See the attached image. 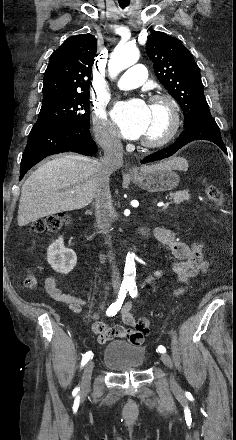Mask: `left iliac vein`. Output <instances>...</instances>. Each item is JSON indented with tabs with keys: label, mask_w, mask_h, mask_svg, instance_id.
I'll use <instances>...</instances> for the list:
<instances>
[{
	"label": "left iliac vein",
	"mask_w": 236,
	"mask_h": 440,
	"mask_svg": "<svg viewBox=\"0 0 236 440\" xmlns=\"http://www.w3.org/2000/svg\"><path fill=\"white\" fill-rule=\"evenodd\" d=\"M161 360H162V362H163L168 368H170V369L173 368V363H172V360H171V358H170L169 355H167V354H162V355H161ZM170 384H171V387L174 388V389L178 387L177 382L175 381V379H174L173 376H171Z\"/></svg>",
	"instance_id": "left-iliac-vein-1"
}]
</instances>
